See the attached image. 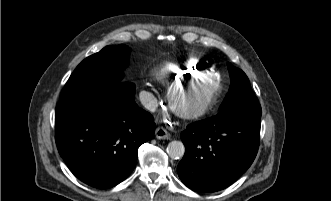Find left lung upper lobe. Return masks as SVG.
Listing matches in <instances>:
<instances>
[{
    "mask_svg": "<svg viewBox=\"0 0 331 201\" xmlns=\"http://www.w3.org/2000/svg\"><path fill=\"white\" fill-rule=\"evenodd\" d=\"M228 70L231 78V85L219 111L228 110L235 107L250 106L258 104L250 82L246 74L228 63Z\"/></svg>",
    "mask_w": 331,
    "mask_h": 201,
    "instance_id": "left-lung-upper-lobe-1",
    "label": "left lung upper lobe"
}]
</instances>
